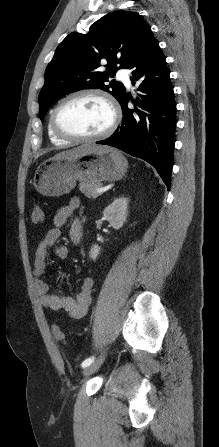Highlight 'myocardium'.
Segmentation results:
<instances>
[{"label":"myocardium","instance_id":"f54148a6","mask_svg":"<svg viewBox=\"0 0 219 447\" xmlns=\"http://www.w3.org/2000/svg\"><path fill=\"white\" fill-rule=\"evenodd\" d=\"M82 96L98 97L102 99L109 106L111 111V120L109 125L102 132L89 136H80L65 132L58 125V113L60 109L69 101ZM119 120H120V109L114 98L109 93L94 88L81 89L70 93L56 105L50 117V123L53 132L58 137L70 142H92L104 139L110 136L116 130Z\"/></svg>","mask_w":219,"mask_h":447}]
</instances>
